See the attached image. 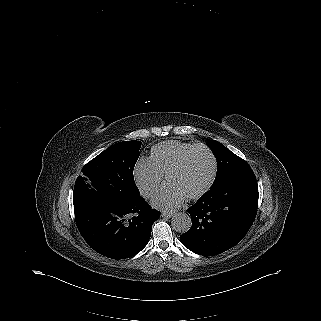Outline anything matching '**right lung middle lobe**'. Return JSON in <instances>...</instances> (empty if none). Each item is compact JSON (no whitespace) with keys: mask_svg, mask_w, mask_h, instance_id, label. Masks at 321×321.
<instances>
[{"mask_svg":"<svg viewBox=\"0 0 321 321\" xmlns=\"http://www.w3.org/2000/svg\"><path fill=\"white\" fill-rule=\"evenodd\" d=\"M140 147V141L119 142L84 165L74 186V206L108 200L130 202L140 197L133 177Z\"/></svg>","mask_w":321,"mask_h":321,"instance_id":"obj_1","label":"right lung middle lobe"}]
</instances>
